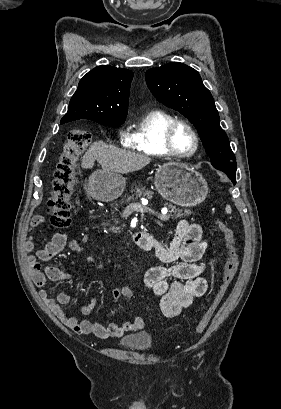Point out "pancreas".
I'll use <instances>...</instances> for the list:
<instances>
[{
	"label": "pancreas",
	"mask_w": 281,
	"mask_h": 409,
	"mask_svg": "<svg viewBox=\"0 0 281 409\" xmlns=\"http://www.w3.org/2000/svg\"><path fill=\"white\" fill-rule=\"evenodd\" d=\"M130 192H133V194L127 196L126 200H131V198H152L154 194L153 190H147L146 186H140V184H134ZM168 209H171V213H174L173 219H178V217L186 215V213H183L182 209H175L172 205H168ZM170 216L172 217V215Z\"/></svg>",
	"instance_id": "pancreas-1"
}]
</instances>
